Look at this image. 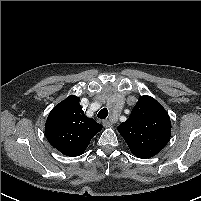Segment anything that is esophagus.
Returning a JSON list of instances; mask_svg holds the SVG:
<instances>
[{"mask_svg":"<svg viewBox=\"0 0 201 201\" xmlns=\"http://www.w3.org/2000/svg\"><path fill=\"white\" fill-rule=\"evenodd\" d=\"M102 123H103V126H104V127H110L111 124H112L109 120H103Z\"/></svg>","mask_w":201,"mask_h":201,"instance_id":"34e87169","label":"esophagus"}]
</instances>
